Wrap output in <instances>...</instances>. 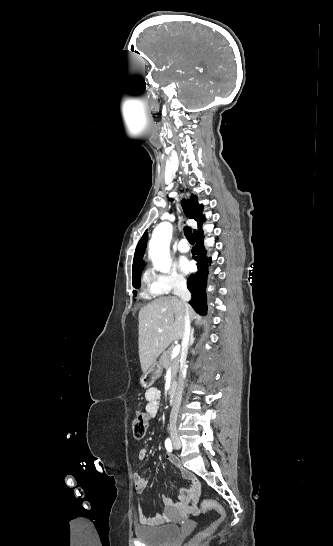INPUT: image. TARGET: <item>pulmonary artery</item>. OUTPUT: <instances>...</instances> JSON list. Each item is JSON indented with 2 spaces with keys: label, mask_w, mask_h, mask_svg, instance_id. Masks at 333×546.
Returning <instances> with one entry per match:
<instances>
[{
  "label": "pulmonary artery",
  "mask_w": 333,
  "mask_h": 546,
  "mask_svg": "<svg viewBox=\"0 0 333 546\" xmlns=\"http://www.w3.org/2000/svg\"><path fill=\"white\" fill-rule=\"evenodd\" d=\"M177 249L181 253H186L189 251L190 247L185 239H181L177 244Z\"/></svg>",
  "instance_id": "1"
}]
</instances>
